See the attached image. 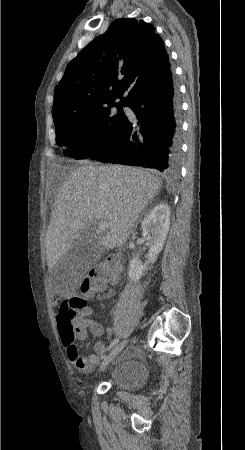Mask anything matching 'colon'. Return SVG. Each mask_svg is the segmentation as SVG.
Returning <instances> with one entry per match:
<instances>
[{
	"label": "colon",
	"mask_w": 245,
	"mask_h": 450,
	"mask_svg": "<svg viewBox=\"0 0 245 450\" xmlns=\"http://www.w3.org/2000/svg\"><path fill=\"white\" fill-rule=\"evenodd\" d=\"M122 267L123 262L118 255L111 254L109 258L98 262L83 274L80 285L81 291L87 293L96 287L106 286L119 277ZM57 297L60 298L61 296ZM75 307L76 301L74 299L63 298L56 315L58 331L62 340L66 343L74 342L76 332L85 330L83 323L78 319Z\"/></svg>",
	"instance_id": "obj_1"
}]
</instances>
